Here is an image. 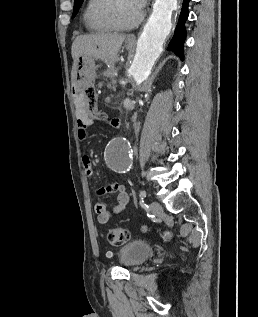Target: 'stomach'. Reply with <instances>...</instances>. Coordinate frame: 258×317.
Instances as JSON below:
<instances>
[{
	"label": "stomach",
	"mask_w": 258,
	"mask_h": 317,
	"mask_svg": "<svg viewBox=\"0 0 258 317\" xmlns=\"http://www.w3.org/2000/svg\"><path fill=\"white\" fill-rule=\"evenodd\" d=\"M133 40L132 38H127L125 40V48L129 50V48H133ZM75 68V82H78L79 76H82V74H94L95 72V58L93 56H79L78 60H76V64L74 66Z\"/></svg>",
	"instance_id": "obj_1"
}]
</instances>
